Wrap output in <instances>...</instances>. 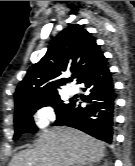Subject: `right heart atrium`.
<instances>
[{
	"instance_id": "right-heart-atrium-1",
	"label": "right heart atrium",
	"mask_w": 135,
	"mask_h": 166,
	"mask_svg": "<svg viewBox=\"0 0 135 166\" xmlns=\"http://www.w3.org/2000/svg\"><path fill=\"white\" fill-rule=\"evenodd\" d=\"M57 118L55 109L50 105L38 107L33 114L34 127L37 131L46 129Z\"/></svg>"
}]
</instances>
